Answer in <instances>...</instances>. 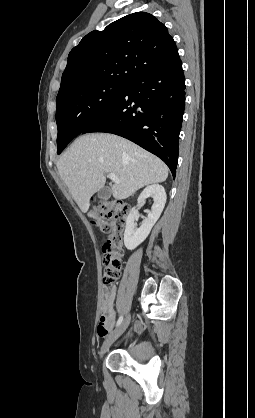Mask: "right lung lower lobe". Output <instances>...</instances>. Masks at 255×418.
I'll return each mask as SVG.
<instances>
[{
  "instance_id": "98d812e1",
  "label": "right lung lower lobe",
  "mask_w": 255,
  "mask_h": 418,
  "mask_svg": "<svg viewBox=\"0 0 255 418\" xmlns=\"http://www.w3.org/2000/svg\"><path fill=\"white\" fill-rule=\"evenodd\" d=\"M184 107L185 78L179 58L133 79L81 134L106 132L127 138L161 158L175 177Z\"/></svg>"
}]
</instances>
